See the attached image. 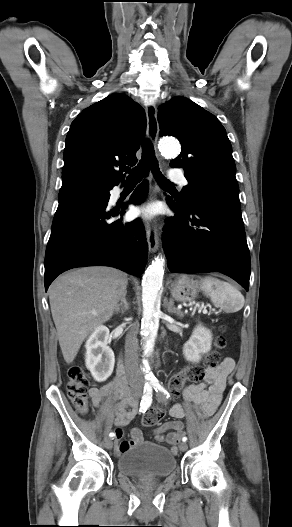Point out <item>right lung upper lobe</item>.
I'll return each mask as SVG.
<instances>
[{"label": "right lung upper lobe", "instance_id": "cb5924a9", "mask_svg": "<svg viewBox=\"0 0 292 527\" xmlns=\"http://www.w3.org/2000/svg\"><path fill=\"white\" fill-rule=\"evenodd\" d=\"M145 129L144 109L124 94H112L84 109L66 137L62 182L88 179L118 184L124 178L123 165L138 161L136 152Z\"/></svg>", "mask_w": 292, "mask_h": 527}]
</instances>
